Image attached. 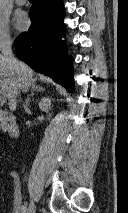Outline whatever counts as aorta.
<instances>
[{"label":"aorta","mask_w":128,"mask_h":213,"mask_svg":"<svg viewBox=\"0 0 128 213\" xmlns=\"http://www.w3.org/2000/svg\"><path fill=\"white\" fill-rule=\"evenodd\" d=\"M7 0H0V9L3 8Z\"/></svg>","instance_id":"obj_1"}]
</instances>
